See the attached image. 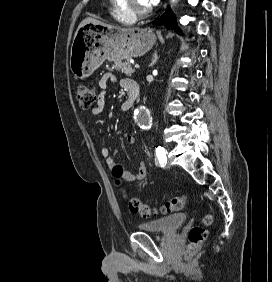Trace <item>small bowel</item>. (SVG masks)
Wrapping results in <instances>:
<instances>
[{
	"label": "small bowel",
	"mask_w": 272,
	"mask_h": 282,
	"mask_svg": "<svg viewBox=\"0 0 272 282\" xmlns=\"http://www.w3.org/2000/svg\"><path fill=\"white\" fill-rule=\"evenodd\" d=\"M109 79H113V77L107 76L99 82V86L101 88V91H100V94L98 96L96 105L90 110V112L93 115H98V114L102 113L103 110H104L105 94H106V90H107V87H108L107 81ZM121 86H122V88L125 89V84H124L123 80L121 81ZM136 141H137V137H136L135 134L130 133V134L127 135V142L129 144H134ZM101 153H102L103 157H105V161H106L107 166L111 169L116 168L117 164H116L114 158L109 156V149L106 148V147H103ZM146 175H147L146 162L140 161L138 173L136 175H133L130 172H128L127 170L124 169L123 174H122V178L125 182L132 183V182L143 180L146 177Z\"/></svg>",
	"instance_id": "1"
}]
</instances>
